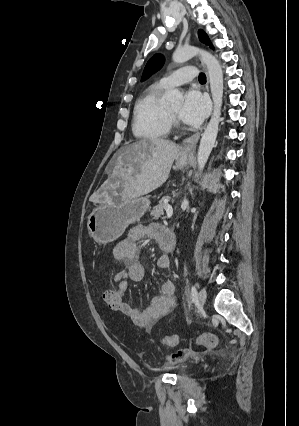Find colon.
<instances>
[{"label":"colon","instance_id":"obj_1","mask_svg":"<svg viewBox=\"0 0 299 426\" xmlns=\"http://www.w3.org/2000/svg\"><path fill=\"white\" fill-rule=\"evenodd\" d=\"M102 298L108 307L114 311H120L125 302V293L118 286H110L103 290ZM217 337L211 333H204L197 339V344L207 348L217 345ZM162 343L168 347H174L178 344L176 335H166L162 339ZM186 352V351H185Z\"/></svg>","mask_w":299,"mask_h":426}]
</instances>
